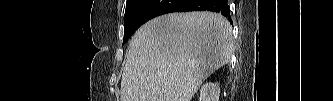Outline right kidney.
Masks as SVG:
<instances>
[{"instance_id":"ca27d5eb","label":"right kidney","mask_w":333,"mask_h":101,"mask_svg":"<svg viewBox=\"0 0 333 101\" xmlns=\"http://www.w3.org/2000/svg\"><path fill=\"white\" fill-rule=\"evenodd\" d=\"M219 83H205L200 89L199 101H219Z\"/></svg>"}]
</instances>
